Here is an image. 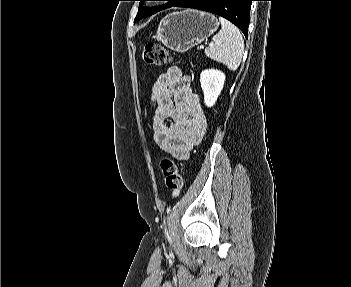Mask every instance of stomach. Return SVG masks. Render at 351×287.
<instances>
[{"instance_id":"0dacf381","label":"stomach","mask_w":351,"mask_h":287,"mask_svg":"<svg viewBox=\"0 0 351 287\" xmlns=\"http://www.w3.org/2000/svg\"><path fill=\"white\" fill-rule=\"evenodd\" d=\"M218 27L215 16L187 9L166 15L153 38L173 51L184 53L211 36Z\"/></svg>"}]
</instances>
